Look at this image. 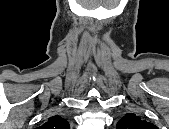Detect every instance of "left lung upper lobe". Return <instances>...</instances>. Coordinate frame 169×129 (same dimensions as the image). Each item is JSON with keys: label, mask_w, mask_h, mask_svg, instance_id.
I'll list each match as a JSON object with an SVG mask.
<instances>
[{"label": "left lung upper lobe", "mask_w": 169, "mask_h": 129, "mask_svg": "<svg viewBox=\"0 0 169 129\" xmlns=\"http://www.w3.org/2000/svg\"><path fill=\"white\" fill-rule=\"evenodd\" d=\"M117 129H155L156 126L140 119L135 114L128 113L116 125Z\"/></svg>", "instance_id": "left-lung-upper-lobe-1"}]
</instances>
